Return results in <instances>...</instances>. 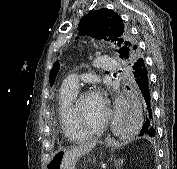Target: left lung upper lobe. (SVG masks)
<instances>
[{"mask_svg": "<svg viewBox=\"0 0 177 169\" xmlns=\"http://www.w3.org/2000/svg\"><path fill=\"white\" fill-rule=\"evenodd\" d=\"M79 35H88L96 39L115 41L119 47L120 57L128 63L141 57L135 41L131 38L128 26L122 18L109 9H99L82 17L79 25ZM108 37V38H107ZM135 46V49L133 47ZM57 73L50 75L53 84Z\"/></svg>", "mask_w": 177, "mask_h": 169, "instance_id": "1", "label": "left lung upper lobe"}]
</instances>
